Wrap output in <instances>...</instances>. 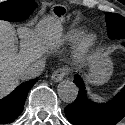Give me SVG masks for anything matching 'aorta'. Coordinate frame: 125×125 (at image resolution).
Segmentation results:
<instances>
[{
    "mask_svg": "<svg viewBox=\"0 0 125 125\" xmlns=\"http://www.w3.org/2000/svg\"><path fill=\"white\" fill-rule=\"evenodd\" d=\"M57 92L62 101L72 103L77 98L78 87L72 81L64 80L58 85Z\"/></svg>",
    "mask_w": 125,
    "mask_h": 125,
    "instance_id": "aorta-1",
    "label": "aorta"
}]
</instances>
